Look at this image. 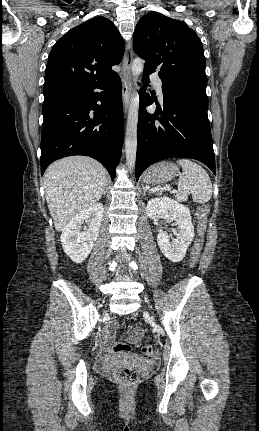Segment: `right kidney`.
Listing matches in <instances>:
<instances>
[{
	"label": "right kidney",
	"mask_w": 259,
	"mask_h": 431,
	"mask_svg": "<svg viewBox=\"0 0 259 431\" xmlns=\"http://www.w3.org/2000/svg\"><path fill=\"white\" fill-rule=\"evenodd\" d=\"M103 212V204L95 203L76 214L63 229L60 240L72 261L81 263L90 254L99 234ZM84 222L88 227L82 229Z\"/></svg>",
	"instance_id": "1"
}]
</instances>
